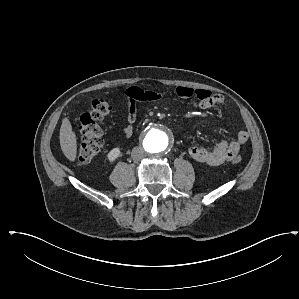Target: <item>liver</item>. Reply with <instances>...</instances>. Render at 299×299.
<instances>
[{
	"label": "liver",
	"mask_w": 299,
	"mask_h": 299,
	"mask_svg": "<svg viewBox=\"0 0 299 299\" xmlns=\"http://www.w3.org/2000/svg\"><path fill=\"white\" fill-rule=\"evenodd\" d=\"M59 139L63 154L70 161H75L77 155V138L68 118H64L62 121Z\"/></svg>",
	"instance_id": "obj_1"
}]
</instances>
